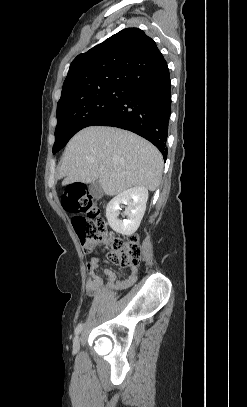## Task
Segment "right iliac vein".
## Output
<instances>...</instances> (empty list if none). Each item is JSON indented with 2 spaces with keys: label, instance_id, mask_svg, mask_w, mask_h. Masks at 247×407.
I'll list each match as a JSON object with an SVG mask.
<instances>
[{
  "label": "right iliac vein",
  "instance_id": "obj_1",
  "mask_svg": "<svg viewBox=\"0 0 247 407\" xmlns=\"http://www.w3.org/2000/svg\"><path fill=\"white\" fill-rule=\"evenodd\" d=\"M80 347V337L76 336L73 340V351L76 353L79 350Z\"/></svg>",
  "mask_w": 247,
  "mask_h": 407
}]
</instances>
